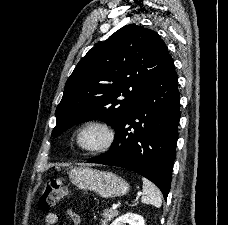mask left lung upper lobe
<instances>
[{"instance_id": "obj_1", "label": "left lung upper lobe", "mask_w": 228, "mask_h": 225, "mask_svg": "<svg viewBox=\"0 0 228 225\" xmlns=\"http://www.w3.org/2000/svg\"><path fill=\"white\" fill-rule=\"evenodd\" d=\"M170 59L155 31L135 24L122 27L93 47L68 78L52 136L95 118L115 129Z\"/></svg>"}]
</instances>
